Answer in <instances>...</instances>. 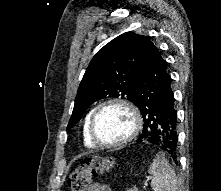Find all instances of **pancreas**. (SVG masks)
<instances>
[{
	"label": "pancreas",
	"instance_id": "pancreas-1",
	"mask_svg": "<svg viewBox=\"0 0 221 191\" xmlns=\"http://www.w3.org/2000/svg\"><path fill=\"white\" fill-rule=\"evenodd\" d=\"M127 191H138V190L135 189V188H130V189H128Z\"/></svg>",
	"mask_w": 221,
	"mask_h": 191
}]
</instances>
